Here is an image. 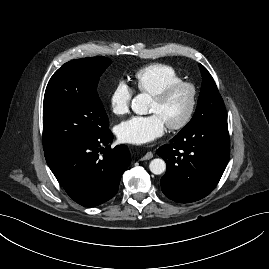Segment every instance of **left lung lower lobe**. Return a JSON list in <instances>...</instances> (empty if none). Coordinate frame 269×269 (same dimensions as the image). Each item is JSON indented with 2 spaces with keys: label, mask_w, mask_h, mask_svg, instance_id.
Returning a JSON list of instances; mask_svg holds the SVG:
<instances>
[{
  "label": "left lung lower lobe",
  "mask_w": 269,
  "mask_h": 269,
  "mask_svg": "<svg viewBox=\"0 0 269 269\" xmlns=\"http://www.w3.org/2000/svg\"><path fill=\"white\" fill-rule=\"evenodd\" d=\"M157 154L167 170L161 178L162 192L179 203L207 196L219 182L230 154L227 122L195 125L181 130Z\"/></svg>",
  "instance_id": "left-lung-lower-lobe-1"
}]
</instances>
